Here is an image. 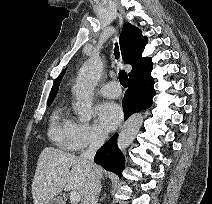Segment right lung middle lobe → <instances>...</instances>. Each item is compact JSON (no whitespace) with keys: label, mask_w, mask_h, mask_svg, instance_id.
Returning <instances> with one entry per match:
<instances>
[{"label":"right lung middle lobe","mask_w":212,"mask_h":204,"mask_svg":"<svg viewBox=\"0 0 212 204\" xmlns=\"http://www.w3.org/2000/svg\"><path fill=\"white\" fill-rule=\"evenodd\" d=\"M51 102H52V101H49V102H48V106L51 104Z\"/></svg>","instance_id":"1"}]
</instances>
